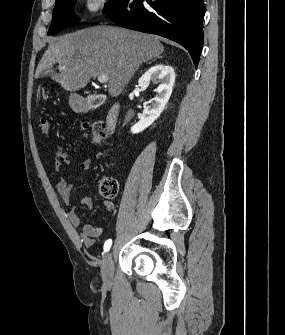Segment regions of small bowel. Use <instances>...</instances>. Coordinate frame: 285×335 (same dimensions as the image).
<instances>
[{
    "label": "small bowel",
    "instance_id": "small-bowel-1",
    "mask_svg": "<svg viewBox=\"0 0 285 335\" xmlns=\"http://www.w3.org/2000/svg\"><path fill=\"white\" fill-rule=\"evenodd\" d=\"M54 160L55 165L58 168H61L67 164H69V155L66 151L58 149L54 154ZM80 168L84 171H88L91 167V160L89 158L83 159L80 162ZM55 190L59 194L62 202L64 204H68L71 197V191H72V184L70 181L62 177L56 184H55ZM95 196L93 194H90L88 196H85L81 200V204L86 208H91L95 204ZM105 207L108 210L113 209V204L111 202H105ZM68 219L71 223V225L75 228H78L82 225V221L80 217L77 214L76 208H71L67 213ZM104 229L102 227H94L90 223H84L82 225V231L80 234L82 243L87 246L91 247L95 244L97 238L101 236Z\"/></svg>",
    "mask_w": 285,
    "mask_h": 335
}]
</instances>
